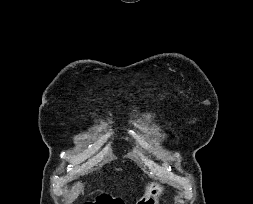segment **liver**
<instances>
[{
    "label": "liver",
    "mask_w": 253,
    "mask_h": 204,
    "mask_svg": "<svg viewBox=\"0 0 253 204\" xmlns=\"http://www.w3.org/2000/svg\"><path fill=\"white\" fill-rule=\"evenodd\" d=\"M81 191H83V184L81 182L75 183L68 195L66 204H71L78 197Z\"/></svg>",
    "instance_id": "liver-1"
}]
</instances>
